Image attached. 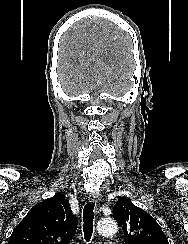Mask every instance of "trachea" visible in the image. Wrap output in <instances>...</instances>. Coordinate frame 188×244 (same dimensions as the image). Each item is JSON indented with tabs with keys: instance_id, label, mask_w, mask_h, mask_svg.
Instances as JSON below:
<instances>
[{
	"instance_id": "1",
	"label": "trachea",
	"mask_w": 188,
	"mask_h": 244,
	"mask_svg": "<svg viewBox=\"0 0 188 244\" xmlns=\"http://www.w3.org/2000/svg\"><path fill=\"white\" fill-rule=\"evenodd\" d=\"M95 203H87L83 209V232L86 241H90L93 234Z\"/></svg>"
}]
</instances>
